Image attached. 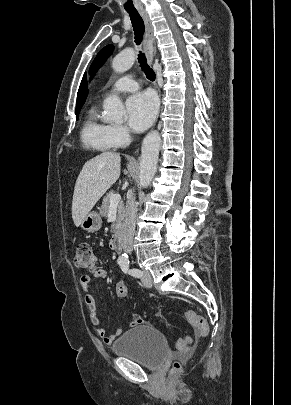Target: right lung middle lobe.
Here are the masks:
<instances>
[{
    "instance_id": "right-lung-middle-lobe-1",
    "label": "right lung middle lobe",
    "mask_w": 291,
    "mask_h": 405,
    "mask_svg": "<svg viewBox=\"0 0 291 405\" xmlns=\"http://www.w3.org/2000/svg\"><path fill=\"white\" fill-rule=\"evenodd\" d=\"M79 112H80V108H76V118L78 119L79 117Z\"/></svg>"
}]
</instances>
